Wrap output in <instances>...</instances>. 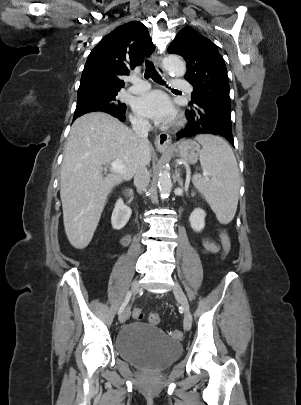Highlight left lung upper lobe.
<instances>
[{
  "label": "left lung upper lobe",
  "mask_w": 301,
  "mask_h": 405,
  "mask_svg": "<svg viewBox=\"0 0 301 405\" xmlns=\"http://www.w3.org/2000/svg\"><path fill=\"white\" fill-rule=\"evenodd\" d=\"M168 52L182 56L187 63L185 79L194 88L192 106L209 103L231 110L226 66L209 39L185 27L172 41Z\"/></svg>",
  "instance_id": "obj_1"
}]
</instances>
